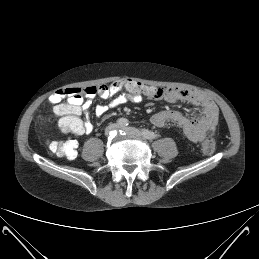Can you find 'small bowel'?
Listing matches in <instances>:
<instances>
[{
  "label": "small bowel",
  "mask_w": 259,
  "mask_h": 259,
  "mask_svg": "<svg viewBox=\"0 0 259 259\" xmlns=\"http://www.w3.org/2000/svg\"><path fill=\"white\" fill-rule=\"evenodd\" d=\"M77 89L80 91H76ZM121 91L124 92L118 94ZM64 97H67L66 103H62ZM96 97L109 100L107 105L96 106L95 114L97 117H103L109 109L127 102L138 104L144 98L163 100L169 103L181 101L193 104L200 110V116L197 118H189L177 111L163 110L153 114L150 122L156 127H163L168 123L175 124L181 128L188 140L195 143L211 137L218 122L219 112L216 104L196 90L178 87L157 88L144 85L143 92H134L128 88L127 80L116 81L111 85L61 89L49 97V102L54 105V112L60 117V127L64 120L73 118L78 123V128L73 134L80 136L89 134L93 130L92 123L88 119L82 120L81 116L82 114L88 116L92 101Z\"/></svg>",
  "instance_id": "obj_1"
}]
</instances>
